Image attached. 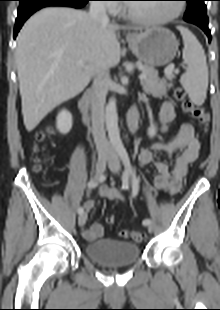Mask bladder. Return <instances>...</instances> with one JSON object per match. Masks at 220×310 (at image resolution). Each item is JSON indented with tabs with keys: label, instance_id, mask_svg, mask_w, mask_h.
I'll return each mask as SVG.
<instances>
[{
	"label": "bladder",
	"instance_id": "obj_1",
	"mask_svg": "<svg viewBox=\"0 0 220 310\" xmlns=\"http://www.w3.org/2000/svg\"><path fill=\"white\" fill-rule=\"evenodd\" d=\"M85 256L102 266H128L139 259L140 248L136 244L111 238H101L87 243Z\"/></svg>",
	"mask_w": 220,
	"mask_h": 310
}]
</instances>
